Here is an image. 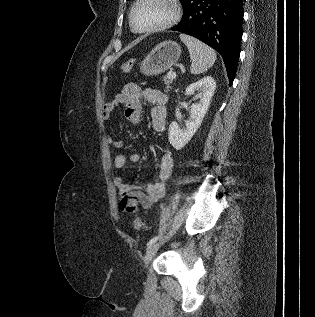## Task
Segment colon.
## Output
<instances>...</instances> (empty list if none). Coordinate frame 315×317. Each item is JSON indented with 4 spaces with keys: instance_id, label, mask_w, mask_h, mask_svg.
<instances>
[{
    "instance_id": "5ec220e1",
    "label": "colon",
    "mask_w": 315,
    "mask_h": 317,
    "mask_svg": "<svg viewBox=\"0 0 315 317\" xmlns=\"http://www.w3.org/2000/svg\"><path fill=\"white\" fill-rule=\"evenodd\" d=\"M134 64H135L134 59H129L123 62L121 65V71L123 73H129L133 69ZM133 226L136 230H141L144 227L143 220L139 217L135 218L133 221Z\"/></svg>"
}]
</instances>
